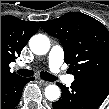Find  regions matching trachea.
<instances>
[{
  "label": "trachea",
  "mask_w": 109,
  "mask_h": 109,
  "mask_svg": "<svg viewBox=\"0 0 109 109\" xmlns=\"http://www.w3.org/2000/svg\"><path fill=\"white\" fill-rule=\"evenodd\" d=\"M17 73H19V75L24 76V77H30L33 75V71L32 70H25V69H20L17 71ZM40 77L45 80V81H55L56 78L55 76L51 75L48 72H40Z\"/></svg>",
  "instance_id": "trachea-1"
}]
</instances>
